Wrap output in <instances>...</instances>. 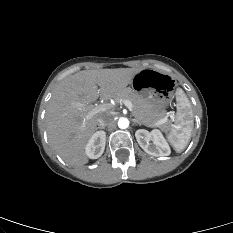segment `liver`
Returning a JSON list of instances; mask_svg holds the SVG:
<instances>
[{"instance_id": "obj_1", "label": "liver", "mask_w": 233, "mask_h": 233, "mask_svg": "<svg viewBox=\"0 0 233 233\" xmlns=\"http://www.w3.org/2000/svg\"><path fill=\"white\" fill-rule=\"evenodd\" d=\"M140 70H83L66 77L57 85L48 103L45 120L49 142L64 161L72 165L88 162L86 144L97 130L98 119L110 113L104 111L85 119L88 110L79 109L75 104L89 106L99 96L104 100L120 98Z\"/></svg>"}]
</instances>
